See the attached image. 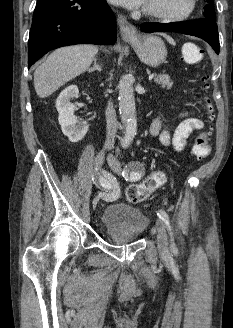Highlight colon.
<instances>
[{"instance_id":"5ec220e1","label":"colon","mask_w":233,"mask_h":328,"mask_svg":"<svg viewBox=\"0 0 233 328\" xmlns=\"http://www.w3.org/2000/svg\"><path fill=\"white\" fill-rule=\"evenodd\" d=\"M184 59L188 62H194L201 59L203 56V50L197 45L190 44L184 48ZM204 84L203 88L207 87L208 77L202 78ZM206 105V118L208 123H211L214 117L213 108L209 99H205ZM192 154L198 159L206 158L210 153V145L208 132L204 131L197 136L194 140L192 148ZM165 182V176L161 172H154L146 177L142 182L131 185L126 190V198L130 203H139L145 200L152 192L161 187Z\"/></svg>"}]
</instances>
